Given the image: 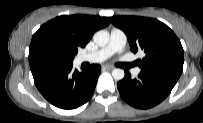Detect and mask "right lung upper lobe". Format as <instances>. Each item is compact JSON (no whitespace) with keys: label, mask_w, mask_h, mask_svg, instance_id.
<instances>
[{"label":"right lung upper lobe","mask_w":203,"mask_h":123,"mask_svg":"<svg viewBox=\"0 0 203 123\" xmlns=\"http://www.w3.org/2000/svg\"><path fill=\"white\" fill-rule=\"evenodd\" d=\"M110 23L106 17L90 15H69L59 16L42 25L39 31L53 30L65 37L72 46L85 47L93 34Z\"/></svg>","instance_id":"right-lung-upper-lobe-1"}]
</instances>
